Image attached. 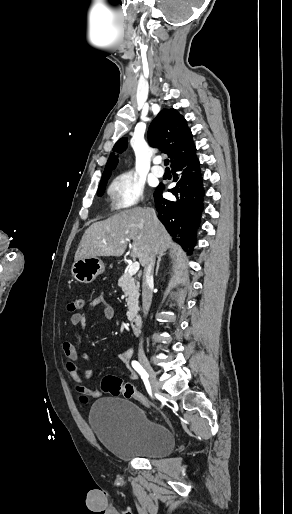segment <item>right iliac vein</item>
Returning <instances> with one entry per match:
<instances>
[{"instance_id": "63e3f726", "label": "right iliac vein", "mask_w": 292, "mask_h": 514, "mask_svg": "<svg viewBox=\"0 0 292 514\" xmlns=\"http://www.w3.org/2000/svg\"><path fill=\"white\" fill-rule=\"evenodd\" d=\"M139 360H140L141 365L144 367L145 371L148 374L152 391L155 394H159L160 392H159L158 383L156 380V375H155V372H154L153 368L151 367L149 361L144 356H141Z\"/></svg>"}]
</instances>
